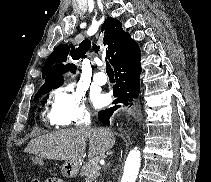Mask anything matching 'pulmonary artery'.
Segmentation results:
<instances>
[{"instance_id": "obj_1", "label": "pulmonary artery", "mask_w": 211, "mask_h": 182, "mask_svg": "<svg viewBox=\"0 0 211 182\" xmlns=\"http://www.w3.org/2000/svg\"><path fill=\"white\" fill-rule=\"evenodd\" d=\"M93 80L98 85H104L107 82V76L104 72L99 71L94 74Z\"/></svg>"}]
</instances>
